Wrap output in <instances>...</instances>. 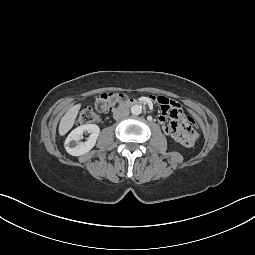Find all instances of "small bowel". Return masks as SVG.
I'll return each mask as SVG.
<instances>
[{
  "label": "small bowel",
  "mask_w": 255,
  "mask_h": 255,
  "mask_svg": "<svg viewBox=\"0 0 255 255\" xmlns=\"http://www.w3.org/2000/svg\"><path fill=\"white\" fill-rule=\"evenodd\" d=\"M151 102H156V97H151ZM161 115L159 123L163 131L172 140L180 144L194 147L199 142L198 129H194L186 120L187 115L180 104L170 98L160 97Z\"/></svg>",
  "instance_id": "small-bowel-1"
}]
</instances>
